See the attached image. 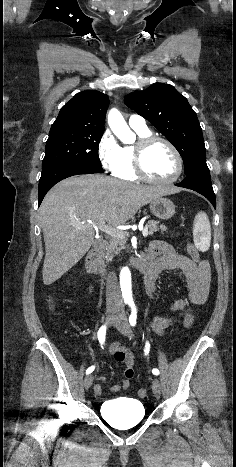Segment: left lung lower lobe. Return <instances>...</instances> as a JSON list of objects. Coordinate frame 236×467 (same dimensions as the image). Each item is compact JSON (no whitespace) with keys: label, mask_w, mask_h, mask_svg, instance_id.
Segmentation results:
<instances>
[{"label":"left lung lower lobe","mask_w":236,"mask_h":467,"mask_svg":"<svg viewBox=\"0 0 236 467\" xmlns=\"http://www.w3.org/2000/svg\"><path fill=\"white\" fill-rule=\"evenodd\" d=\"M176 186L194 190L205 196L216 208V198L212 188L208 167L201 168L186 175V178Z\"/></svg>","instance_id":"left-lung-lower-lobe-1"}]
</instances>
